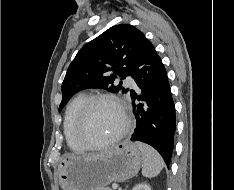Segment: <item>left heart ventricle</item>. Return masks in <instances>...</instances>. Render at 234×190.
Wrapping results in <instances>:
<instances>
[{
	"label": "left heart ventricle",
	"instance_id": "left-heart-ventricle-1",
	"mask_svg": "<svg viewBox=\"0 0 234 190\" xmlns=\"http://www.w3.org/2000/svg\"><path fill=\"white\" fill-rule=\"evenodd\" d=\"M122 126L119 109L111 102L99 101L89 111L85 134L93 143H101L113 137Z\"/></svg>",
	"mask_w": 234,
	"mask_h": 190
}]
</instances>
